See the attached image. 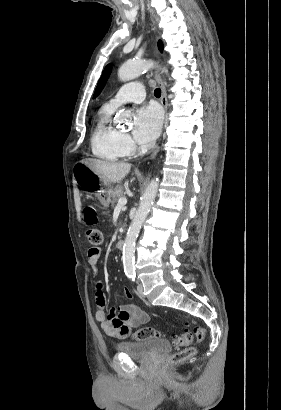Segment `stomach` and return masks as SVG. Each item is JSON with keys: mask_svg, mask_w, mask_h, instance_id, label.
Wrapping results in <instances>:
<instances>
[{"mask_svg": "<svg viewBox=\"0 0 281 410\" xmlns=\"http://www.w3.org/2000/svg\"><path fill=\"white\" fill-rule=\"evenodd\" d=\"M73 179L80 188L95 193L104 207L109 206L112 194L110 181L96 173L83 160L74 165Z\"/></svg>", "mask_w": 281, "mask_h": 410, "instance_id": "obj_1", "label": "stomach"}]
</instances>
